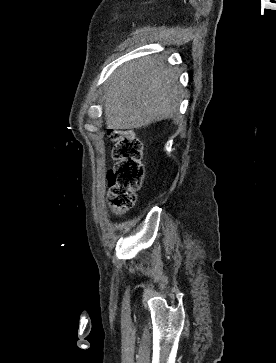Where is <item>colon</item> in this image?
<instances>
[{
    "mask_svg": "<svg viewBox=\"0 0 276 363\" xmlns=\"http://www.w3.org/2000/svg\"><path fill=\"white\" fill-rule=\"evenodd\" d=\"M108 135L114 142L115 160L107 176L108 203L114 213L121 214L134 206L136 192L142 184V144L130 131L111 129Z\"/></svg>",
    "mask_w": 276,
    "mask_h": 363,
    "instance_id": "obj_1",
    "label": "colon"
}]
</instances>
